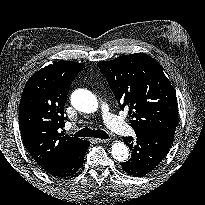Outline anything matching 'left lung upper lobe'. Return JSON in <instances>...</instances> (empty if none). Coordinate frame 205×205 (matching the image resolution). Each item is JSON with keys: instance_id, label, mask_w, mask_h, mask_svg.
Returning a JSON list of instances; mask_svg holds the SVG:
<instances>
[{"instance_id": "1", "label": "left lung upper lobe", "mask_w": 205, "mask_h": 205, "mask_svg": "<svg viewBox=\"0 0 205 205\" xmlns=\"http://www.w3.org/2000/svg\"><path fill=\"white\" fill-rule=\"evenodd\" d=\"M98 66L120 108L129 110L137 135L170 131L178 123L175 90L160 64L144 53L124 55Z\"/></svg>"}]
</instances>
